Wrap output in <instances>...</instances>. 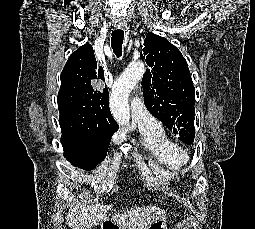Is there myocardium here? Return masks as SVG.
Instances as JSON below:
<instances>
[{
	"label": "myocardium",
	"instance_id": "myocardium-1",
	"mask_svg": "<svg viewBox=\"0 0 255 229\" xmlns=\"http://www.w3.org/2000/svg\"><path fill=\"white\" fill-rule=\"evenodd\" d=\"M172 151H173L174 154L179 156V160L181 162H186L187 161V155H186L185 151L181 147L173 144Z\"/></svg>",
	"mask_w": 255,
	"mask_h": 229
}]
</instances>
